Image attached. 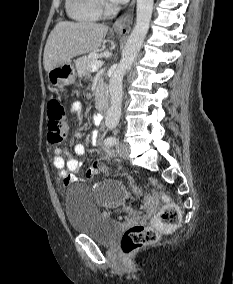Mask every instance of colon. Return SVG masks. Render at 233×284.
I'll return each mask as SVG.
<instances>
[{"label":"colon","mask_w":233,"mask_h":284,"mask_svg":"<svg viewBox=\"0 0 233 284\" xmlns=\"http://www.w3.org/2000/svg\"><path fill=\"white\" fill-rule=\"evenodd\" d=\"M66 135L65 111L58 99H51L47 106V136L51 144L60 143ZM164 205L155 218V226L134 225L127 229L121 239V249L125 255H131L145 245L156 242L159 231L175 228L180 222V211L166 195ZM154 198L145 196L144 208H154Z\"/></svg>","instance_id":"1"}]
</instances>
